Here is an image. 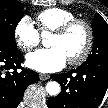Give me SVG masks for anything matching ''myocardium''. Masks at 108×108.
<instances>
[{
	"label": "myocardium",
	"instance_id": "1",
	"mask_svg": "<svg viewBox=\"0 0 108 108\" xmlns=\"http://www.w3.org/2000/svg\"><path fill=\"white\" fill-rule=\"evenodd\" d=\"M77 26H81L84 28V30L86 31L87 38H86V44L83 50L77 56L68 59V62L71 65H77L84 62L89 56L93 48L94 31L91 24L83 19L75 18L73 20L66 22L65 24L61 25L60 27H58L57 29L53 31V34L55 35L64 36Z\"/></svg>",
	"mask_w": 108,
	"mask_h": 108
}]
</instances>
